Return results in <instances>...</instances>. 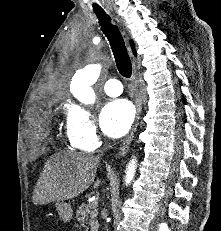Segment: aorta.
<instances>
[{"instance_id": "obj_1", "label": "aorta", "mask_w": 221, "mask_h": 231, "mask_svg": "<svg viewBox=\"0 0 221 231\" xmlns=\"http://www.w3.org/2000/svg\"><path fill=\"white\" fill-rule=\"evenodd\" d=\"M101 72L100 64L88 65L79 70L72 78L70 90L80 102L92 104L95 102V93L92 85L96 83ZM137 160L133 157L127 165L125 183L130 184L135 176Z\"/></svg>"}]
</instances>
